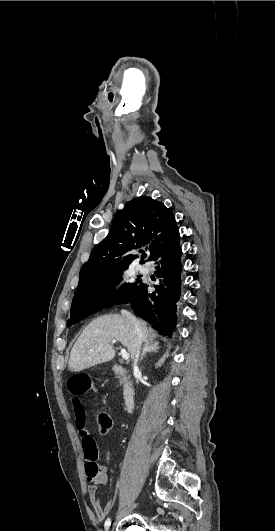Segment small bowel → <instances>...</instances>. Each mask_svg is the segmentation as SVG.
<instances>
[{"mask_svg": "<svg viewBox=\"0 0 275 531\" xmlns=\"http://www.w3.org/2000/svg\"><path fill=\"white\" fill-rule=\"evenodd\" d=\"M98 377L96 374L91 373L89 375H70L68 377V391L72 396L74 415L76 417H84L87 415L88 410L85 407V391L92 390L94 383H96ZM76 428L78 430L82 446L85 448L88 445L95 443L92 435L85 428V420L76 421ZM104 455L108 458L110 456L109 449L102 450ZM92 484L88 488V496L91 506L93 507L95 514L99 520H104L108 513L114 508L115 501L110 500L104 505L101 503L99 489L104 486L108 477L104 471L99 472L95 477L89 478Z\"/></svg>", "mask_w": 275, "mask_h": 531, "instance_id": "obj_1", "label": "small bowel"}]
</instances>
